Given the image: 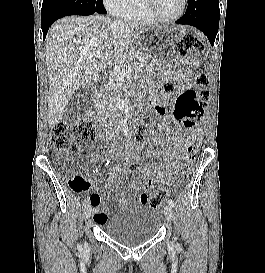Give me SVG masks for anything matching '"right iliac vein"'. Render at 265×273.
<instances>
[{"label":"right iliac vein","mask_w":265,"mask_h":273,"mask_svg":"<svg viewBox=\"0 0 265 273\" xmlns=\"http://www.w3.org/2000/svg\"><path fill=\"white\" fill-rule=\"evenodd\" d=\"M92 207L87 205L84 209V216L89 219L91 217Z\"/></svg>","instance_id":"1"}]
</instances>
